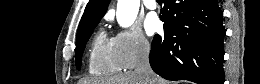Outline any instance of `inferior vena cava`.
Returning a JSON list of instances; mask_svg holds the SVG:
<instances>
[{
    "label": "inferior vena cava",
    "mask_w": 260,
    "mask_h": 84,
    "mask_svg": "<svg viewBox=\"0 0 260 84\" xmlns=\"http://www.w3.org/2000/svg\"><path fill=\"white\" fill-rule=\"evenodd\" d=\"M149 52L148 47L140 50L134 72L144 79V84H156L155 74L149 63Z\"/></svg>",
    "instance_id": "1"
}]
</instances>
